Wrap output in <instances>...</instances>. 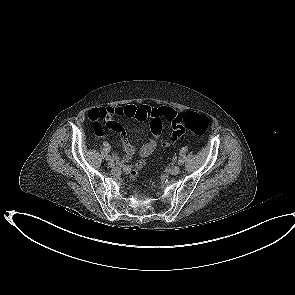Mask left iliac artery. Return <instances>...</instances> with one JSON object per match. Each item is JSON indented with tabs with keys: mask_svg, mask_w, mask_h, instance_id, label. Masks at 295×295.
Returning <instances> with one entry per match:
<instances>
[{
	"mask_svg": "<svg viewBox=\"0 0 295 295\" xmlns=\"http://www.w3.org/2000/svg\"><path fill=\"white\" fill-rule=\"evenodd\" d=\"M183 162H184V161H183L182 159H180V160L178 161V164H179V165H182Z\"/></svg>",
	"mask_w": 295,
	"mask_h": 295,
	"instance_id": "left-iliac-artery-1",
	"label": "left iliac artery"
}]
</instances>
